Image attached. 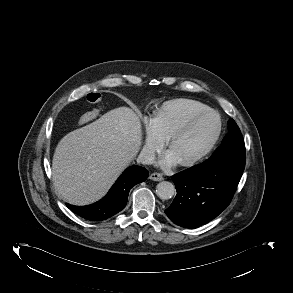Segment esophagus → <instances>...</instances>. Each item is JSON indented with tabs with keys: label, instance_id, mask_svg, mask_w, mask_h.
Wrapping results in <instances>:
<instances>
[{
	"label": "esophagus",
	"instance_id": "1",
	"mask_svg": "<svg viewBox=\"0 0 293 293\" xmlns=\"http://www.w3.org/2000/svg\"><path fill=\"white\" fill-rule=\"evenodd\" d=\"M151 180H153V181H162L164 178H163V176H162V174H160V173H152V174H150V177H149Z\"/></svg>",
	"mask_w": 293,
	"mask_h": 293
}]
</instances>
